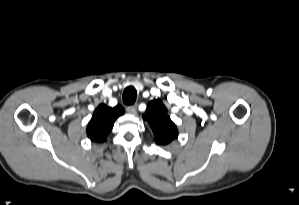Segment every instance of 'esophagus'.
Segmentation results:
<instances>
[{"instance_id": "obj_1", "label": "esophagus", "mask_w": 299, "mask_h": 205, "mask_svg": "<svg viewBox=\"0 0 299 205\" xmlns=\"http://www.w3.org/2000/svg\"><path fill=\"white\" fill-rule=\"evenodd\" d=\"M136 110H137V106L136 105H132V106H128L127 107V112L129 114H135L136 113Z\"/></svg>"}]
</instances>
